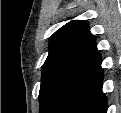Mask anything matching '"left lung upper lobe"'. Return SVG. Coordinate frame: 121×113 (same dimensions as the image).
I'll list each match as a JSON object with an SVG mask.
<instances>
[{
  "label": "left lung upper lobe",
  "mask_w": 121,
  "mask_h": 113,
  "mask_svg": "<svg viewBox=\"0 0 121 113\" xmlns=\"http://www.w3.org/2000/svg\"><path fill=\"white\" fill-rule=\"evenodd\" d=\"M103 75L88 23L74 20L51 37L42 67L41 113H71Z\"/></svg>",
  "instance_id": "left-lung-upper-lobe-1"
}]
</instances>
